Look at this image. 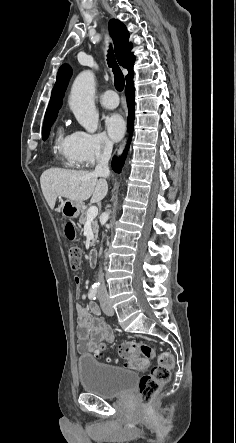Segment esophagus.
Segmentation results:
<instances>
[{
	"instance_id": "34e87169",
	"label": "esophagus",
	"mask_w": 236,
	"mask_h": 443,
	"mask_svg": "<svg viewBox=\"0 0 236 443\" xmlns=\"http://www.w3.org/2000/svg\"><path fill=\"white\" fill-rule=\"evenodd\" d=\"M126 144V139L123 141V143L121 144L119 150H118V154H120L124 148V145Z\"/></svg>"
}]
</instances>
